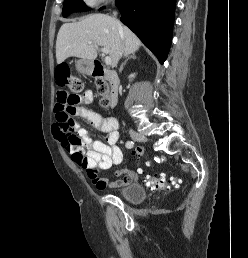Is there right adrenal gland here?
Returning a JSON list of instances; mask_svg holds the SVG:
<instances>
[{"mask_svg":"<svg viewBox=\"0 0 248 258\" xmlns=\"http://www.w3.org/2000/svg\"><path fill=\"white\" fill-rule=\"evenodd\" d=\"M130 59H136V56L134 53H132L130 56L127 57V59L122 63L119 71L122 72L123 71V68L124 66L126 65L127 61L130 60Z\"/></svg>","mask_w":248,"mask_h":258,"instance_id":"2a0ac1e0","label":"right adrenal gland"}]
</instances>
